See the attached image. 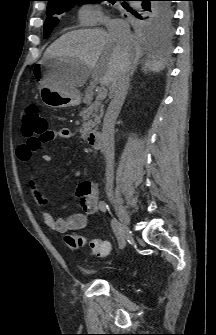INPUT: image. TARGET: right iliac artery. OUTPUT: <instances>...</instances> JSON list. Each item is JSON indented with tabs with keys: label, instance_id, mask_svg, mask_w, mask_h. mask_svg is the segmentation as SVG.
Listing matches in <instances>:
<instances>
[{
	"label": "right iliac artery",
	"instance_id": "1",
	"mask_svg": "<svg viewBox=\"0 0 216 335\" xmlns=\"http://www.w3.org/2000/svg\"><path fill=\"white\" fill-rule=\"evenodd\" d=\"M99 208L102 212L109 211V206L105 201H100ZM111 227L118 240L119 249H123L125 247V238L122 231V225L115 218H113L111 220Z\"/></svg>",
	"mask_w": 216,
	"mask_h": 335
}]
</instances>
